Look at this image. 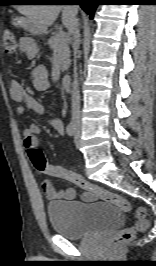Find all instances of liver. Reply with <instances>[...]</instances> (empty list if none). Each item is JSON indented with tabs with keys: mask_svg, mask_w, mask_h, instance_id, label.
<instances>
[{
	"mask_svg": "<svg viewBox=\"0 0 156 266\" xmlns=\"http://www.w3.org/2000/svg\"><path fill=\"white\" fill-rule=\"evenodd\" d=\"M17 9L44 29L55 22L60 11H62V23L69 31L74 20L71 5H21Z\"/></svg>",
	"mask_w": 156,
	"mask_h": 266,
	"instance_id": "obj_1",
	"label": "liver"
}]
</instances>
